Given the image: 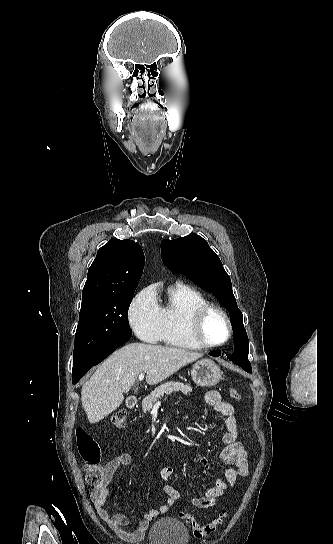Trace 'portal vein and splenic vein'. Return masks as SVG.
Masks as SVG:
<instances>
[{
	"label": "portal vein and splenic vein",
	"mask_w": 333,
	"mask_h": 544,
	"mask_svg": "<svg viewBox=\"0 0 333 544\" xmlns=\"http://www.w3.org/2000/svg\"><path fill=\"white\" fill-rule=\"evenodd\" d=\"M143 379H144V373H141V374L139 375V381H142Z\"/></svg>",
	"instance_id": "obj_1"
}]
</instances>
